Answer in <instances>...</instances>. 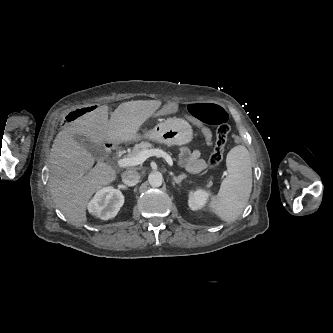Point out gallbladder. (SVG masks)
I'll return each mask as SVG.
<instances>
[{
  "label": "gallbladder",
  "mask_w": 333,
  "mask_h": 333,
  "mask_svg": "<svg viewBox=\"0 0 333 333\" xmlns=\"http://www.w3.org/2000/svg\"><path fill=\"white\" fill-rule=\"evenodd\" d=\"M76 142L86 148L96 160H105L108 157L107 150L84 135H75Z\"/></svg>",
  "instance_id": "gallbladder-1"
}]
</instances>
